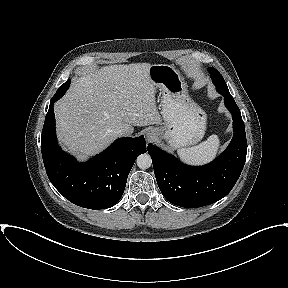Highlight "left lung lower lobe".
<instances>
[{
    "instance_id": "left-lung-lower-lobe-1",
    "label": "left lung lower lobe",
    "mask_w": 288,
    "mask_h": 288,
    "mask_svg": "<svg viewBox=\"0 0 288 288\" xmlns=\"http://www.w3.org/2000/svg\"><path fill=\"white\" fill-rule=\"evenodd\" d=\"M224 103L233 116L234 135L227 149L204 166H188L163 150L148 145L157 184L172 204L198 208L225 197L237 182L246 160L247 141L240 110L230 94Z\"/></svg>"
}]
</instances>
